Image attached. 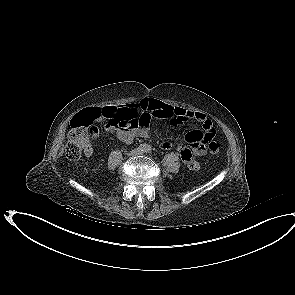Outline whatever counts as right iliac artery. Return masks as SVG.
Masks as SVG:
<instances>
[{
  "label": "right iliac artery",
  "instance_id": "right-iliac-artery-1",
  "mask_svg": "<svg viewBox=\"0 0 295 295\" xmlns=\"http://www.w3.org/2000/svg\"><path fill=\"white\" fill-rule=\"evenodd\" d=\"M139 149H140L141 151H143V150L145 149V146H144V145H141V146L139 147Z\"/></svg>",
  "mask_w": 295,
  "mask_h": 295
}]
</instances>
